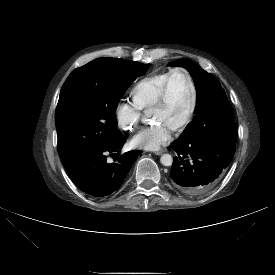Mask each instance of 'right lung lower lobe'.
Instances as JSON below:
<instances>
[{
	"instance_id": "obj_1",
	"label": "right lung lower lobe",
	"mask_w": 275,
	"mask_h": 275,
	"mask_svg": "<svg viewBox=\"0 0 275 275\" xmlns=\"http://www.w3.org/2000/svg\"><path fill=\"white\" fill-rule=\"evenodd\" d=\"M125 143L123 135L99 149L79 152L63 159L67 173L85 193L94 197L110 195L118 190L141 151L124 153L116 163H108V154L117 155ZM118 157V156H117Z\"/></svg>"
}]
</instances>
